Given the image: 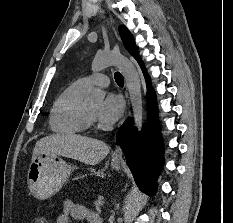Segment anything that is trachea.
<instances>
[{"label":"trachea","instance_id":"1","mask_svg":"<svg viewBox=\"0 0 233 223\" xmlns=\"http://www.w3.org/2000/svg\"><path fill=\"white\" fill-rule=\"evenodd\" d=\"M114 78L117 84H124V78L121 73L116 72Z\"/></svg>","mask_w":233,"mask_h":223}]
</instances>
